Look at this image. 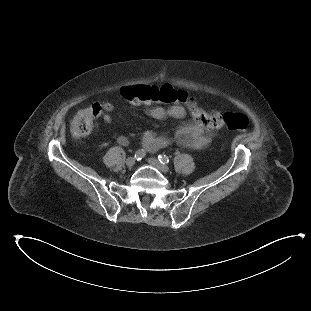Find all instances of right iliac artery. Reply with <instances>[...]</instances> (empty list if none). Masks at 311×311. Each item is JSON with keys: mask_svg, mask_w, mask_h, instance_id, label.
Wrapping results in <instances>:
<instances>
[{"mask_svg": "<svg viewBox=\"0 0 311 311\" xmlns=\"http://www.w3.org/2000/svg\"><path fill=\"white\" fill-rule=\"evenodd\" d=\"M146 155V152L144 149H139L138 151H136L134 158L136 160H141L142 158H144Z\"/></svg>", "mask_w": 311, "mask_h": 311, "instance_id": "1", "label": "right iliac artery"}]
</instances>
